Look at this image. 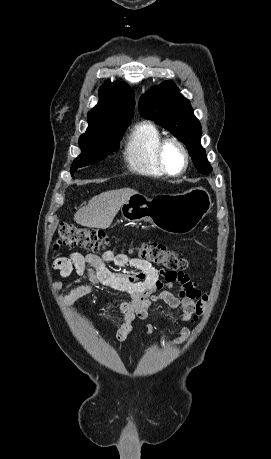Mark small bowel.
<instances>
[{"mask_svg":"<svg viewBox=\"0 0 271 459\" xmlns=\"http://www.w3.org/2000/svg\"><path fill=\"white\" fill-rule=\"evenodd\" d=\"M112 262L119 268L130 267L133 271L119 272L109 268ZM62 277H68L75 271L80 277L88 279V284L72 289L61 297L62 302L71 303L89 295L95 287L103 286L124 293L128 299L120 305L124 323L117 330L112 343L124 341L132 330L133 321L145 319L152 302L163 301L170 308L182 311L181 321H186L195 313L196 303L202 296L198 284L182 271L171 272L158 270L149 261L116 253L109 249L101 256L96 254L83 255L72 252L68 257H60L54 263ZM177 286L176 293L170 289ZM61 288L59 282L55 283ZM189 335V330L181 328L180 335L171 344L182 343Z\"/></svg>","mask_w":271,"mask_h":459,"instance_id":"1","label":"small bowel"}]
</instances>
